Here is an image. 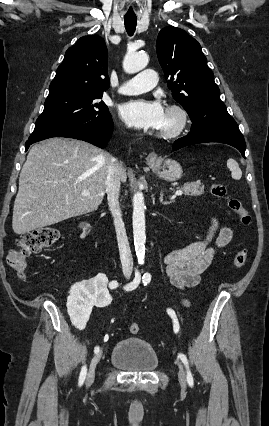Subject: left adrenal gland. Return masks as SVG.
<instances>
[{
  "instance_id": "a2214340",
  "label": "left adrenal gland",
  "mask_w": 269,
  "mask_h": 426,
  "mask_svg": "<svg viewBox=\"0 0 269 426\" xmlns=\"http://www.w3.org/2000/svg\"><path fill=\"white\" fill-rule=\"evenodd\" d=\"M160 202H161L162 204H164V205H168V204L172 203V202H173V200H170V201H164V200H163V191H161V192H160Z\"/></svg>"
}]
</instances>
